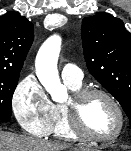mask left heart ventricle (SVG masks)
Instances as JSON below:
<instances>
[{
	"label": "left heart ventricle",
	"mask_w": 131,
	"mask_h": 151,
	"mask_svg": "<svg viewBox=\"0 0 131 151\" xmlns=\"http://www.w3.org/2000/svg\"><path fill=\"white\" fill-rule=\"evenodd\" d=\"M84 124L87 130L97 136H112L118 129L119 118L112 104L101 96L88 100L84 110Z\"/></svg>",
	"instance_id": "obj_1"
}]
</instances>
